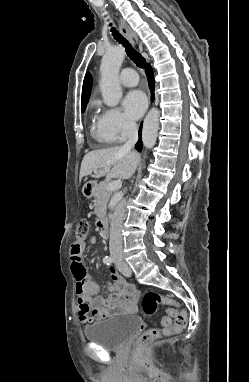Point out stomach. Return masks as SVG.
Returning <instances> with one entry per match:
<instances>
[{"instance_id": "stomach-1", "label": "stomach", "mask_w": 249, "mask_h": 382, "mask_svg": "<svg viewBox=\"0 0 249 382\" xmlns=\"http://www.w3.org/2000/svg\"><path fill=\"white\" fill-rule=\"evenodd\" d=\"M96 189V184L93 180H88L87 184L83 187V194L85 197L90 198L94 195Z\"/></svg>"}]
</instances>
